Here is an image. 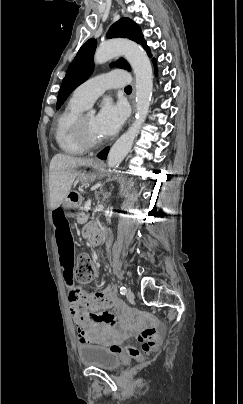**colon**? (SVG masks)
Listing matches in <instances>:
<instances>
[{
    "label": "colon",
    "instance_id": "1",
    "mask_svg": "<svg viewBox=\"0 0 243 404\" xmlns=\"http://www.w3.org/2000/svg\"><path fill=\"white\" fill-rule=\"evenodd\" d=\"M96 276L95 267L91 258L82 254L77 259L76 279L81 283H89ZM72 300L84 306L89 312H110L111 309L120 308L117 306V300L111 290H104L96 293L76 292ZM111 313V312H110ZM141 344L140 349L130 348L129 353L138 357L141 353H147L158 348L161 335L157 327H147L143 329L137 337Z\"/></svg>",
    "mask_w": 243,
    "mask_h": 404
}]
</instances>
